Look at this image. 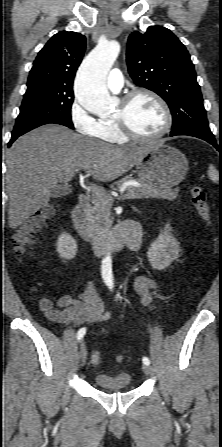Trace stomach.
Masks as SVG:
<instances>
[{"mask_svg": "<svg viewBox=\"0 0 222 447\" xmlns=\"http://www.w3.org/2000/svg\"><path fill=\"white\" fill-rule=\"evenodd\" d=\"M136 170L144 182L171 188L185 178L188 161L178 149L161 142L150 146Z\"/></svg>", "mask_w": 222, "mask_h": 447, "instance_id": "stomach-1", "label": "stomach"}]
</instances>
